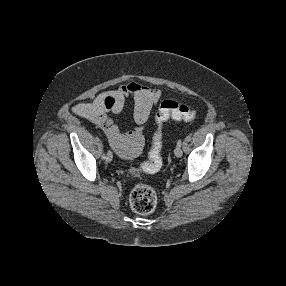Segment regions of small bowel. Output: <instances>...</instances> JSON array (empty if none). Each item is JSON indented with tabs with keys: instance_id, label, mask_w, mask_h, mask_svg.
Wrapping results in <instances>:
<instances>
[{
	"instance_id": "obj_1",
	"label": "small bowel",
	"mask_w": 286,
	"mask_h": 286,
	"mask_svg": "<svg viewBox=\"0 0 286 286\" xmlns=\"http://www.w3.org/2000/svg\"><path fill=\"white\" fill-rule=\"evenodd\" d=\"M162 91L136 81L122 84L116 89L102 93L90 103L79 102L73 111L99 127L108 139L111 148L122 158H135L144 143L143 131L154 106L159 102ZM134 102L135 126L122 132L112 116L119 115L127 99Z\"/></svg>"
}]
</instances>
